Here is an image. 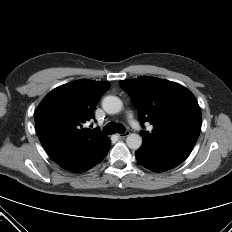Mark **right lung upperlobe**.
Returning a JSON list of instances; mask_svg holds the SVG:
<instances>
[{"label": "right lung upper lobe", "instance_id": "obj_1", "mask_svg": "<svg viewBox=\"0 0 232 232\" xmlns=\"http://www.w3.org/2000/svg\"><path fill=\"white\" fill-rule=\"evenodd\" d=\"M109 87L107 82L81 79L53 89L42 100L35 125L44 149L56 163L90 157L110 146L99 129L83 128L95 118L94 107Z\"/></svg>", "mask_w": 232, "mask_h": 232}]
</instances>
